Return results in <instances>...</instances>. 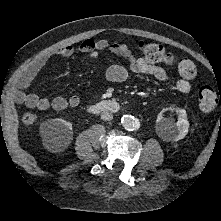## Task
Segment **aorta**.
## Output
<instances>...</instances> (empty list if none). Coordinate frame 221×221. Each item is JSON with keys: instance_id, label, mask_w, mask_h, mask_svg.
Returning <instances> with one entry per match:
<instances>
[{"instance_id": "762f6f07", "label": "aorta", "mask_w": 221, "mask_h": 221, "mask_svg": "<svg viewBox=\"0 0 221 221\" xmlns=\"http://www.w3.org/2000/svg\"><path fill=\"white\" fill-rule=\"evenodd\" d=\"M121 123L126 130H137L140 127L139 120L131 115H123Z\"/></svg>"}]
</instances>
